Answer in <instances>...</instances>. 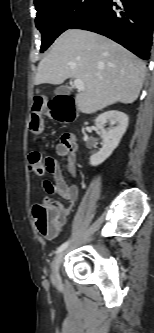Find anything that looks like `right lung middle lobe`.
<instances>
[{
  "label": "right lung middle lobe",
  "mask_w": 154,
  "mask_h": 333,
  "mask_svg": "<svg viewBox=\"0 0 154 333\" xmlns=\"http://www.w3.org/2000/svg\"><path fill=\"white\" fill-rule=\"evenodd\" d=\"M101 0H39L36 27L42 33L41 52L73 24L87 17Z\"/></svg>",
  "instance_id": "dd1d6c3e"
}]
</instances>
